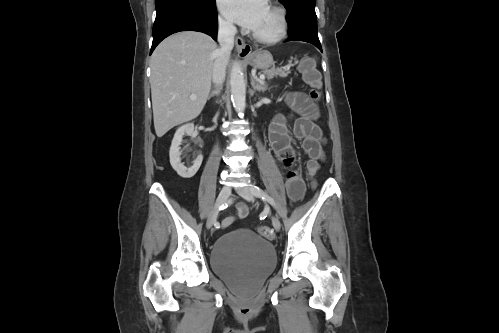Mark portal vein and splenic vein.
I'll use <instances>...</instances> for the list:
<instances>
[{
  "label": "portal vein and splenic vein",
  "instance_id": "portal-vein-and-splenic-vein-1",
  "mask_svg": "<svg viewBox=\"0 0 499 333\" xmlns=\"http://www.w3.org/2000/svg\"><path fill=\"white\" fill-rule=\"evenodd\" d=\"M259 79H260V81H263L265 79V76L264 75H260ZM190 99H192V100L196 99V95L192 94L190 96Z\"/></svg>",
  "mask_w": 499,
  "mask_h": 333
}]
</instances>
